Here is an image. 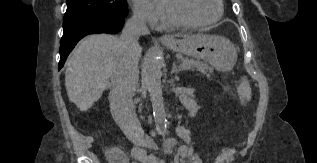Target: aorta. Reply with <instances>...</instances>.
Masks as SVG:
<instances>
[{
  "mask_svg": "<svg viewBox=\"0 0 317 163\" xmlns=\"http://www.w3.org/2000/svg\"><path fill=\"white\" fill-rule=\"evenodd\" d=\"M143 73L150 94L155 124L157 127L163 128L166 124V113L161 86L162 72L158 57L152 52L146 55Z\"/></svg>",
  "mask_w": 317,
  "mask_h": 163,
  "instance_id": "1",
  "label": "aorta"
}]
</instances>
